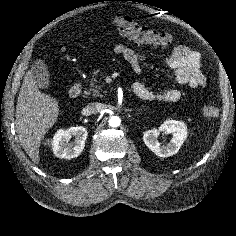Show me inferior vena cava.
I'll list each match as a JSON object with an SVG mask.
<instances>
[{"label":"inferior vena cava","mask_w":236,"mask_h":236,"mask_svg":"<svg viewBox=\"0 0 236 236\" xmlns=\"http://www.w3.org/2000/svg\"><path fill=\"white\" fill-rule=\"evenodd\" d=\"M102 109H103V104L102 103L92 102V103H89L86 106L85 111H86L87 114H97Z\"/></svg>","instance_id":"obj_1"}]
</instances>
